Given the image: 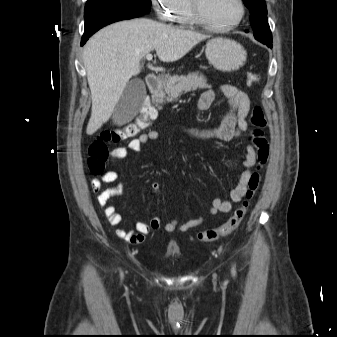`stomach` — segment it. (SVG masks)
Here are the masks:
<instances>
[{
    "mask_svg": "<svg viewBox=\"0 0 337 337\" xmlns=\"http://www.w3.org/2000/svg\"><path fill=\"white\" fill-rule=\"evenodd\" d=\"M208 61L218 70L230 72L238 70L246 61L247 53L237 42L214 38L207 42L205 49Z\"/></svg>",
    "mask_w": 337,
    "mask_h": 337,
    "instance_id": "obj_1",
    "label": "stomach"
}]
</instances>
